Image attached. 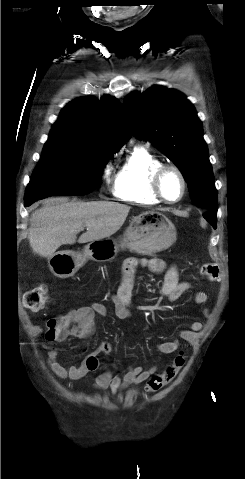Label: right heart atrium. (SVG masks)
<instances>
[{
  "mask_svg": "<svg viewBox=\"0 0 245 479\" xmlns=\"http://www.w3.org/2000/svg\"><path fill=\"white\" fill-rule=\"evenodd\" d=\"M109 173H110V167L107 166V167L104 169V176H105V177H108Z\"/></svg>",
  "mask_w": 245,
  "mask_h": 479,
  "instance_id": "right-heart-atrium-1",
  "label": "right heart atrium"
}]
</instances>
